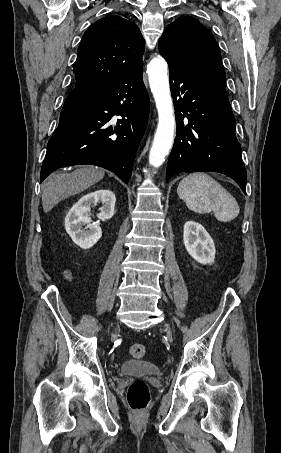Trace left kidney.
Returning <instances> with one entry per match:
<instances>
[{
  "mask_svg": "<svg viewBox=\"0 0 281 453\" xmlns=\"http://www.w3.org/2000/svg\"><path fill=\"white\" fill-rule=\"evenodd\" d=\"M183 241L185 249L195 261L207 265L215 259V245L209 233L205 231L202 224L195 220H187L184 224Z\"/></svg>",
  "mask_w": 281,
  "mask_h": 453,
  "instance_id": "5707ae66",
  "label": "left kidney"
}]
</instances>
